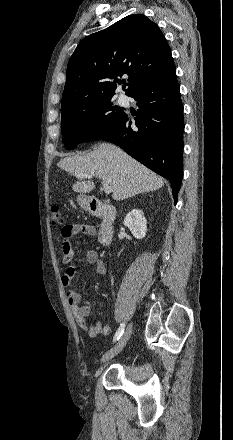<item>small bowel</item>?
<instances>
[{
    "instance_id": "obj_1",
    "label": "small bowel",
    "mask_w": 233,
    "mask_h": 440,
    "mask_svg": "<svg viewBox=\"0 0 233 440\" xmlns=\"http://www.w3.org/2000/svg\"><path fill=\"white\" fill-rule=\"evenodd\" d=\"M85 234L89 236L95 235V228L91 224H69L65 225L61 229V252L62 261L65 264L71 262L74 257V250L70 243V240L78 235ZM85 261L89 264L95 266V272L98 275H103L106 273V265L103 260L98 256V253L94 250L87 251L85 255ZM76 272V266L69 265L61 276V284L64 287H69L72 283L74 274ZM67 303L70 307L72 315L80 327V329L87 333L90 337L96 338L98 336H106L111 333L112 328L110 326L102 325L101 323H96L95 325H90L87 322V317L91 312V305L87 301H82L81 295L74 289H68L66 291Z\"/></svg>"
}]
</instances>
